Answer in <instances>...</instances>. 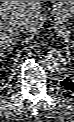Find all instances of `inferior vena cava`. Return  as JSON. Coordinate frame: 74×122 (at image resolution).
Listing matches in <instances>:
<instances>
[{
	"label": "inferior vena cava",
	"mask_w": 74,
	"mask_h": 122,
	"mask_svg": "<svg viewBox=\"0 0 74 122\" xmlns=\"http://www.w3.org/2000/svg\"><path fill=\"white\" fill-rule=\"evenodd\" d=\"M24 27H25V24L20 23V22L16 23V25H15L16 30H18L19 32L24 30Z\"/></svg>",
	"instance_id": "obj_1"
}]
</instances>
